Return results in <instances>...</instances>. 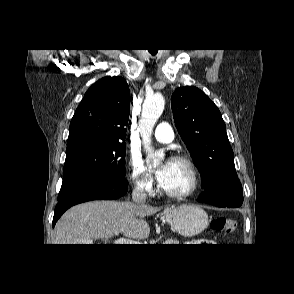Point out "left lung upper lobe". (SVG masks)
Here are the masks:
<instances>
[{
  "mask_svg": "<svg viewBox=\"0 0 294 294\" xmlns=\"http://www.w3.org/2000/svg\"><path fill=\"white\" fill-rule=\"evenodd\" d=\"M171 105L177 130L201 174L204 196L242 190L222 115L214 102L194 86L180 87Z\"/></svg>",
  "mask_w": 294,
  "mask_h": 294,
  "instance_id": "5c2ea615",
  "label": "left lung upper lobe"
}]
</instances>
